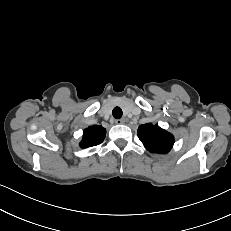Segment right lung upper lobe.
<instances>
[{
	"mask_svg": "<svg viewBox=\"0 0 231 231\" xmlns=\"http://www.w3.org/2000/svg\"><path fill=\"white\" fill-rule=\"evenodd\" d=\"M106 135V129L99 125H94L86 128L83 131V139L80 147L87 148L98 145L103 142Z\"/></svg>",
	"mask_w": 231,
	"mask_h": 231,
	"instance_id": "cb5924a9",
	"label": "right lung upper lobe"
}]
</instances>
